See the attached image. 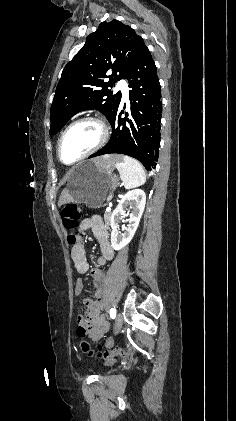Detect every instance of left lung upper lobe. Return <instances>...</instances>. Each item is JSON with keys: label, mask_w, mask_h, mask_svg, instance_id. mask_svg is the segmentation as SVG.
I'll use <instances>...</instances> for the list:
<instances>
[{"label": "left lung upper lobe", "mask_w": 236, "mask_h": 421, "mask_svg": "<svg viewBox=\"0 0 236 421\" xmlns=\"http://www.w3.org/2000/svg\"><path fill=\"white\" fill-rule=\"evenodd\" d=\"M143 44L130 26L118 20L102 22L62 72L50 110V134L83 110H99L110 121L121 102V92L113 94L108 87L126 78Z\"/></svg>", "instance_id": "left-lung-upper-lobe-1"}]
</instances>
